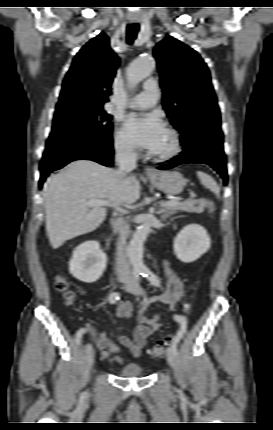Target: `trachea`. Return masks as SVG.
Returning a JSON list of instances; mask_svg holds the SVG:
<instances>
[{
  "label": "trachea",
  "instance_id": "trachea-1",
  "mask_svg": "<svg viewBox=\"0 0 273 430\" xmlns=\"http://www.w3.org/2000/svg\"><path fill=\"white\" fill-rule=\"evenodd\" d=\"M139 30V25L138 24H130L128 25L127 28V42L129 44H133L136 36H137V32Z\"/></svg>",
  "mask_w": 273,
  "mask_h": 430
}]
</instances>
